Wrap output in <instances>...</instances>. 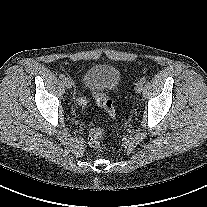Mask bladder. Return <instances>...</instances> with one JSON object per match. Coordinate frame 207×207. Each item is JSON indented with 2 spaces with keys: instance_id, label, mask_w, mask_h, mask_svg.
Instances as JSON below:
<instances>
[{
  "instance_id": "bladder-1",
  "label": "bladder",
  "mask_w": 207,
  "mask_h": 207,
  "mask_svg": "<svg viewBox=\"0 0 207 207\" xmlns=\"http://www.w3.org/2000/svg\"><path fill=\"white\" fill-rule=\"evenodd\" d=\"M83 85L89 90L116 92L121 85V73L110 64H95L84 74Z\"/></svg>"
}]
</instances>
